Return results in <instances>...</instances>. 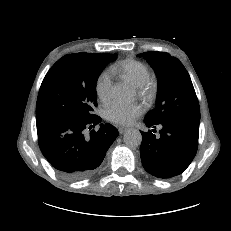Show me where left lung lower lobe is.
I'll list each match as a JSON object with an SVG mask.
<instances>
[{"mask_svg":"<svg viewBox=\"0 0 231 231\" xmlns=\"http://www.w3.org/2000/svg\"><path fill=\"white\" fill-rule=\"evenodd\" d=\"M144 122L148 127L162 126L159 137L150 130L141 132L140 155L144 169L158 178H171L181 174L196 155L200 118L174 119L160 123L144 119Z\"/></svg>","mask_w":231,"mask_h":231,"instance_id":"left-lung-lower-lobe-1","label":"left lung lower lobe"}]
</instances>
